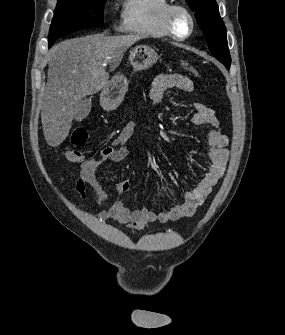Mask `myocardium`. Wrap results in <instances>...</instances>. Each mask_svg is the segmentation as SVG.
Segmentation results:
<instances>
[{
	"label": "myocardium",
	"instance_id": "myocardium-1",
	"mask_svg": "<svg viewBox=\"0 0 285 335\" xmlns=\"http://www.w3.org/2000/svg\"><path fill=\"white\" fill-rule=\"evenodd\" d=\"M186 18H187V13L182 7H175L174 9H172L170 16H169L170 31L174 34L176 25L180 24Z\"/></svg>",
	"mask_w": 285,
	"mask_h": 335
}]
</instances>
